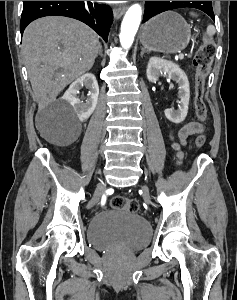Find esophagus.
I'll return each instance as SVG.
<instances>
[{"label":"esophagus","instance_id":"esophagus-1","mask_svg":"<svg viewBox=\"0 0 237 300\" xmlns=\"http://www.w3.org/2000/svg\"><path fill=\"white\" fill-rule=\"evenodd\" d=\"M127 6H116L113 8V15L116 19H119L126 11Z\"/></svg>","mask_w":237,"mask_h":300}]
</instances>
